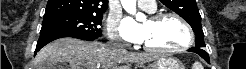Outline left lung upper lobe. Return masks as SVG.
I'll list each match as a JSON object with an SVG mask.
<instances>
[{
  "mask_svg": "<svg viewBox=\"0 0 246 69\" xmlns=\"http://www.w3.org/2000/svg\"><path fill=\"white\" fill-rule=\"evenodd\" d=\"M165 6L181 16L192 27L196 35V48L205 47L201 16L195 0H160Z\"/></svg>",
  "mask_w": 246,
  "mask_h": 69,
  "instance_id": "left-lung-upper-lobe-1",
  "label": "left lung upper lobe"
}]
</instances>
